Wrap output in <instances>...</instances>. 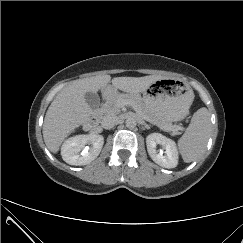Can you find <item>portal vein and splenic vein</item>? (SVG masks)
<instances>
[{
	"label": "portal vein and splenic vein",
	"instance_id": "obj_1",
	"mask_svg": "<svg viewBox=\"0 0 243 243\" xmlns=\"http://www.w3.org/2000/svg\"><path fill=\"white\" fill-rule=\"evenodd\" d=\"M147 121H149L150 123H152L150 120L146 119Z\"/></svg>",
	"mask_w": 243,
	"mask_h": 243
}]
</instances>
